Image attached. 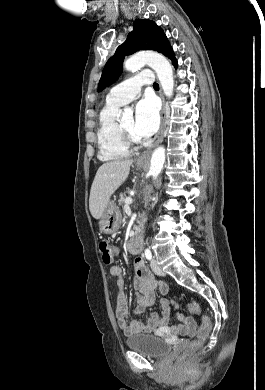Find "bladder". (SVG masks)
<instances>
[{
	"label": "bladder",
	"mask_w": 265,
	"mask_h": 390,
	"mask_svg": "<svg viewBox=\"0 0 265 390\" xmlns=\"http://www.w3.org/2000/svg\"><path fill=\"white\" fill-rule=\"evenodd\" d=\"M129 349L151 358H161L166 355L171 346L161 337L148 334H138L126 340Z\"/></svg>",
	"instance_id": "obj_1"
}]
</instances>
